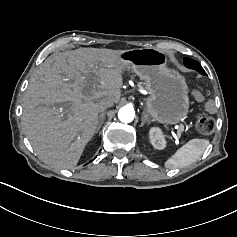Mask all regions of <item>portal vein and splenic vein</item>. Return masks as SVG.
<instances>
[{"label": "portal vein and splenic vein", "instance_id": "obj_1", "mask_svg": "<svg viewBox=\"0 0 237 237\" xmlns=\"http://www.w3.org/2000/svg\"><path fill=\"white\" fill-rule=\"evenodd\" d=\"M184 125L181 123V124H179V132L181 133V134H183V132H184V127H183Z\"/></svg>", "mask_w": 237, "mask_h": 237}]
</instances>
